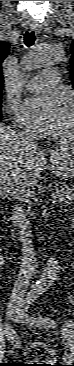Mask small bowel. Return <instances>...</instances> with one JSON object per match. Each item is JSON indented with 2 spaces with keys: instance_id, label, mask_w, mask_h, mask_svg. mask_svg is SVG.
Here are the masks:
<instances>
[{
  "instance_id": "c3829d8e",
  "label": "small bowel",
  "mask_w": 74,
  "mask_h": 366,
  "mask_svg": "<svg viewBox=\"0 0 74 366\" xmlns=\"http://www.w3.org/2000/svg\"><path fill=\"white\" fill-rule=\"evenodd\" d=\"M56 267H50L47 269L46 273L43 275V281H50L56 275Z\"/></svg>"
}]
</instances>
